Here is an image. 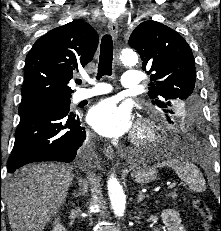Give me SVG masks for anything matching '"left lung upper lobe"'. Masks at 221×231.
Returning <instances> with one entry per match:
<instances>
[{"label":"left lung upper lobe","mask_w":221,"mask_h":231,"mask_svg":"<svg viewBox=\"0 0 221 231\" xmlns=\"http://www.w3.org/2000/svg\"><path fill=\"white\" fill-rule=\"evenodd\" d=\"M151 75L149 94L153 104L167 114L175 108L193 110L199 105L192 51L173 29L156 21L139 24L129 38Z\"/></svg>","instance_id":"5c2ea615"}]
</instances>
